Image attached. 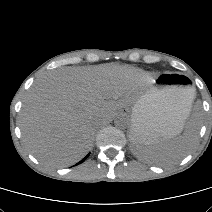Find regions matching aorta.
Masks as SVG:
<instances>
[{
	"label": "aorta",
	"mask_w": 212,
	"mask_h": 212,
	"mask_svg": "<svg viewBox=\"0 0 212 212\" xmlns=\"http://www.w3.org/2000/svg\"><path fill=\"white\" fill-rule=\"evenodd\" d=\"M127 123V119L122 116L116 118L114 121L115 126L120 129L125 128L127 126Z\"/></svg>",
	"instance_id": "762f6f07"
}]
</instances>
